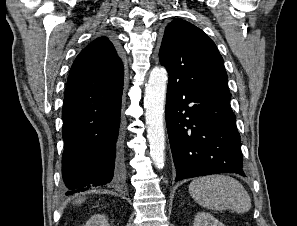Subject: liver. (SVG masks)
<instances>
[{
    "label": "liver",
    "instance_id": "1",
    "mask_svg": "<svg viewBox=\"0 0 297 226\" xmlns=\"http://www.w3.org/2000/svg\"><path fill=\"white\" fill-rule=\"evenodd\" d=\"M83 201H84V199H78V200L75 201V204H78V203L80 204V203H82Z\"/></svg>",
    "mask_w": 297,
    "mask_h": 226
}]
</instances>
